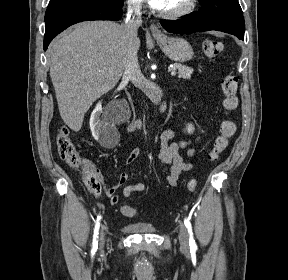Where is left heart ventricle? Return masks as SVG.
<instances>
[{
	"instance_id": "left-heart-ventricle-1",
	"label": "left heart ventricle",
	"mask_w": 288,
	"mask_h": 280,
	"mask_svg": "<svg viewBox=\"0 0 288 280\" xmlns=\"http://www.w3.org/2000/svg\"><path fill=\"white\" fill-rule=\"evenodd\" d=\"M188 0H166L164 7L161 9L165 12H172L183 8Z\"/></svg>"
}]
</instances>
